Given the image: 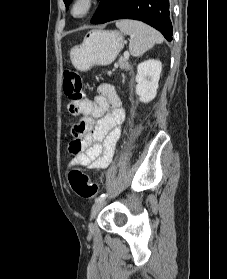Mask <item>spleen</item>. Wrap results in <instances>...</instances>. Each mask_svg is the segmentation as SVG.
<instances>
[{"label":"spleen","mask_w":227,"mask_h":279,"mask_svg":"<svg viewBox=\"0 0 227 279\" xmlns=\"http://www.w3.org/2000/svg\"><path fill=\"white\" fill-rule=\"evenodd\" d=\"M116 26L121 32L131 35L129 51L134 57L143 55L156 43L163 42V37L158 31L142 22L120 20L116 22Z\"/></svg>","instance_id":"obj_1"}]
</instances>
